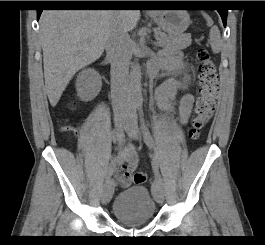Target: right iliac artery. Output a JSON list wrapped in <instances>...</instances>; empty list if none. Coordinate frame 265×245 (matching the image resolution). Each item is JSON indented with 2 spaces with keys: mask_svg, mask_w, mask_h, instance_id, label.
<instances>
[{
  "mask_svg": "<svg viewBox=\"0 0 265 245\" xmlns=\"http://www.w3.org/2000/svg\"><path fill=\"white\" fill-rule=\"evenodd\" d=\"M112 138H113V140L115 142H118L119 144H121L122 141H123V138H124V132H123V130L122 129L115 128L112 131ZM109 171H110V167H108L107 170H106L105 179H107V180H109V178H110Z\"/></svg>",
  "mask_w": 265,
  "mask_h": 245,
  "instance_id": "82829eb1",
  "label": "right iliac artery"
}]
</instances>
